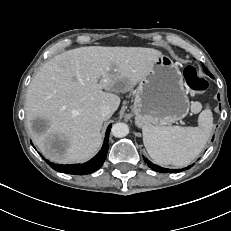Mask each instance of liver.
I'll return each mask as SVG.
<instances>
[{
  "instance_id": "liver-1",
  "label": "liver",
  "mask_w": 231,
  "mask_h": 231,
  "mask_svg": "<svg viewBox=\"0 0 231 231\" xmlns=\"http://www.w3.org/2000/svg\"><path fill=\"white\" fill-rule=\"evenodd\" d=\"M161 56L153 48L89 46L46 62L31 80L25 102L28 130L42 154L60 164L92 158L106 120L100 107L108 105L114 113L120 104L117 93L132 91ZM37 118L48 122L40 134L32 129ZM55 137L65 143L63 151L51 148Z\"/></svg>"
}]
</instances>
